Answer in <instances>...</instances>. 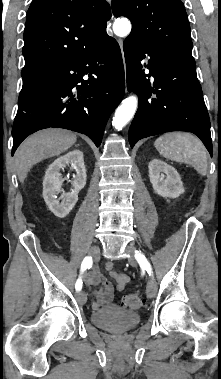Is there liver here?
I'll use <instances>...</instances> for the list:
<instances>
[{
    "label": "liver",
    "instance_id": "6515ba94",
    "mask_svg": "<svg viewBox=\"0 0 221 379\" xmlns=\"http://www.w3.org/2000/svg\"><path fill=\"white\" fill-rule=\"evenodd\" d=\"M76 134L62 129H45L29 136L15 153V166L21 183L33 165L43 159L58 156L76 142Z\"/></svg>",
    "mask_w": 221,
    "mask_h": 379
}]
</instances>
